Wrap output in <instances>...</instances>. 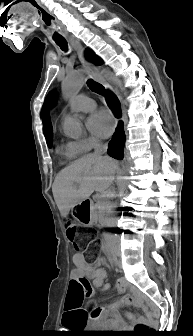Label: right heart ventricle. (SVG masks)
I'll return each mask as SVG.
<instances>
[{
	"mask_svg": "<svg viewBox=\"0 0 193 336\" xmlns=\"http://www.w3.org/2000/svg\"><path fill=\"white\" fill-rule=\"evenodd\" d=\"M59 153L66 159L72 160L78 157L81 152L76 148V146L70 142L59 148Z\"/></svg>",
	"mask_w": 193,
	"mask_h": 336,
	"instance_id": "1",
	"label": "right heart ventricle"
}]
</instances>
